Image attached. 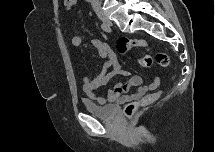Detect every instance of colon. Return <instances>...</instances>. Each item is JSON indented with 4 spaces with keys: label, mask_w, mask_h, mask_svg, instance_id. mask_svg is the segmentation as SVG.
I'll return each mask as SVG.
<instances>
[{
    "label": "colon",
    "mask_w": 215,
    "mask_h": 152,
    "mask_svg": "<svg viewBox=\"0 0 215 152\" xmlns=\"http://www.w3.org/2000/svg\"><path fill=\"white\" fill-rule=\"evenodd\" d=\"M64 8L66 11H72L76 4V0H64L63 1ZM132 47H145L149 48L147 43L143 40H130V39H120L117 43V49L121 54H125L128 49ZM154 60L157 64H159L162 67H167L170 65V57L168 53L163 51H157L154 53V55H144L138 59V63L141 67L149 68L152 66ZM160 95V92H156L154 94L148 95L145 98H143L140 102H132L125 106L124 113L126 116L131 117L135 111L143 105L149 104L150 102L154 101L156 98H158Z\"/></svg>",
    "instance_id": "colon-1"
}]
</instances>
